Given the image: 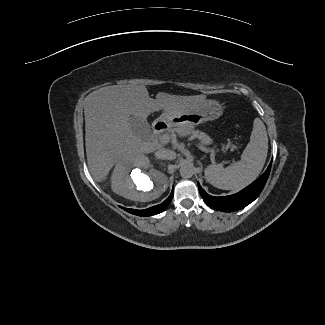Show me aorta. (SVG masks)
Here are the masks:
<instances>
[{
	"mask_svg": "<svg viewBox=\"0 0 325 325\" xmlns=\"http://www.w3.org/2000/svg\"><path fill=\"white\" fill-rule=\"evenodd\" d=\"M194 174V170H193V167L190 166V165H183L181 166L180 168V175L183 177V178H190L192 177Z\"/></svg>",
	"mask_w": 325,
	"mask_h": 325,
	"instance_id": "aorta-1",
	"label": "aorta"
}]
</instances>
